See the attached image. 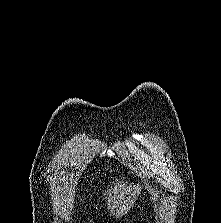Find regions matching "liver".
Here are the masks:
<instances>
[{
  "label": "liver",
  "mask_w": 221,
  "mask_h": 223,
  "mask_svg": "<svg viewBox=\"0 0 221 223\" xmlns=\"http://www.w3.org/2000/svg\"><path fill=\"white\" fill-rule=\"evenodd\" d=\"M122 191L121 189H117L115 187L114 189V196L111 197V201L113 202V206L110 207L111 211L113 212L114 209H116V216H120L123 211L127 210L131 204L136 199L137 193L139 191V188L136 187L134 192H130L131 190H128V192H124L125 190V184H122ZM109 196H111L110 191ZM128 194V196H126Z\"/></svg>",
  "instance_id": "6515ba94"
}]
</instances>
